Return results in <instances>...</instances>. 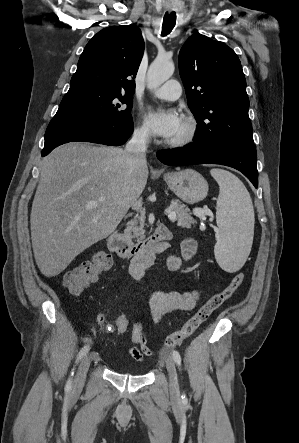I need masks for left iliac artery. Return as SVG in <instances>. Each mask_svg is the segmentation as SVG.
Wrapping results in <instances>:
<instances>
[{"mask_svg": "<svg viewBox=\"0 0 299 443\" xmlns=\"http://www.w3.org/2000/svg\"><path fill=\"white\" fill-rule=\"evenodd\" d=\"M173 358H174L175 362L177 363V365L180 366L181 365V356L178 351H173ZM182 399L183 400L187 399L185 394L182 395Z\"/></svg>", "mask_w": 299, "mask_h": 443, "instance_id": "left-iliac-artery-1", "label": "left iliac artery"}]
</instances>
